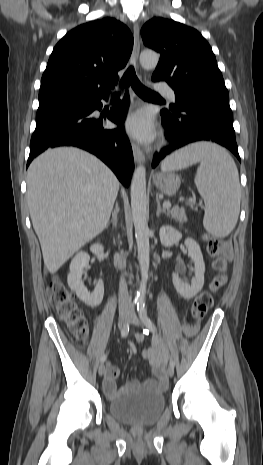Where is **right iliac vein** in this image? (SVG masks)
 <instances>
[{
	"label": "right iliac vein",
	"mask_w": 263,
	"mask_h": 465,
	"mask_svg": "<svg viewBox=\"0 0 263 465\" xmlns=\"http://www.w3.org/2000/svg\"><path fill=\"white\" fill-rule=\"evenodd\" d=\"M128 315H129V311L126 310V309H123V310H121L119 312V324L120 325H123L127 321ZM98 373H99L100 376L104 375V373H105V365L104 364H101L99 366Z\"/></svg>",
	"instance_id": "right-iliac-vein-1"
}]
</instances>
